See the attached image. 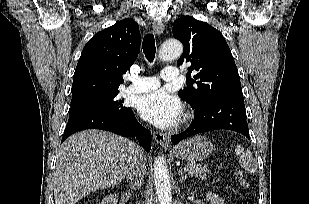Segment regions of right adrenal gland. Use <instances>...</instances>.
Returning a JSON list of instances; mask_svg holds the SVG:
<instances>
[{"label": "right adrenal gland", "instance_id": "1", "mask_svg": "<svg viewBox=\"0 0 309 204\" xmlns=\"http://www.w3.org/2000/svg\"><path fill=\"white\" fill-rule=\"evenodd\" d=\"M130 187H131V189H135V188H134L133 186H131V185H130Z\"/></svg>", "mask_w": 309, "mask_h": 204}]
</instances>
